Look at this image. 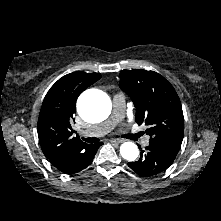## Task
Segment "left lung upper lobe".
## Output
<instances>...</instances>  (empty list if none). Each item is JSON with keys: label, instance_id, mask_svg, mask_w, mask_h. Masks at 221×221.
Wrapping results in <instances>:
<instances>
[{"label": "left lung upper lobe", "instance_id": "obj_1", "mask_svg": "<svg viewBox=\"0 0 221 221\" xmlns=\"http://www.w3.org/2000/svg\"><path fill=\"white\" fill-rule=\"evenodd\" d=\"M120 88L133 100L135 121L148 126L150 142L180 149L184 134L181 102L173 86L160 74L146 70L120 72Z\"/></svg>", "mask_w": 221, "mask_h": 221}]
</instances>
